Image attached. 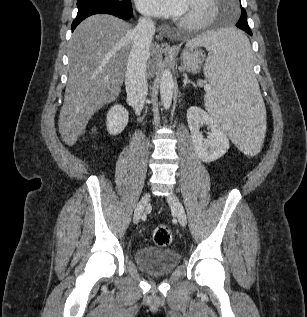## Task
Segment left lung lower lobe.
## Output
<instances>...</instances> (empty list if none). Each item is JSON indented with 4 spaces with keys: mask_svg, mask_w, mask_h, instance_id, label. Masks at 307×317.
Returning <instances> with one entry per match:
<instances>
[{
    "mask_svg": "<svg viewBox=\"0 0 307 317\" xmlns=\"http://www.w3.org/2000/svg\"><path fill=\"white\" fill-rule=\"evenodd\" d=\"M239 28V27H238ZM240 29L247 32L250 36H252V32L248 26L247 23L243 24ZM229 44H231L235 49L242 51L244 49V41L240 38H231L229 41Z\"/></svg>",
    "mask_w": 307,
    "mask_h": 317,
    "instance_id": "0a47b994",
    "label": "left lung lower lobe"
}]
</instances>
